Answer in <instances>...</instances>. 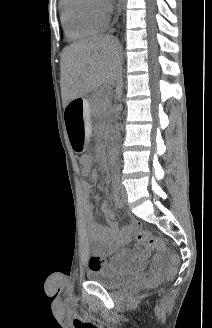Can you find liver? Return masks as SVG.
<instances>
[{
    "label": "liver",
    "instance_id": "6515ba94",
    "mask_svg": "<svg viewBox=\"0 0 212 328\" xmlns=\"http://www.w3.org/2000/svg\"><path fill=\"white\" fill-rule=\"evenodd\" d=\"M61 92L64 102L78 99L102 85H112L119 68V44L111 35H99L70 45L61 56Z\"/></svg>",
    "mask_w": 212,
    "mask_h": 328
}]
</instances>
